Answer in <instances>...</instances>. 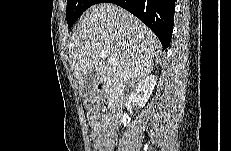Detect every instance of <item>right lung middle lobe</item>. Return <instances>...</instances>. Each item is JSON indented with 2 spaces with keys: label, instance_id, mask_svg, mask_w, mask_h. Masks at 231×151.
<instances>
[{
  "label": "right lung middle lobe",
  "instance_id": "1",
  "mask_svg": "<svg viewBox=\"0 0 231 151\" xmlns=\"http://www.w3.org/2000/svg\"><path fill=\"white\" fill-rule=\"evenodd\" d=\"M100 0H67V24L69 27L82 15L90 6L99 3Z\"/></svg>",
  "mask_w": 231,
  "mask_h": 151
}]
</instances>
